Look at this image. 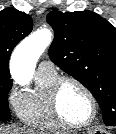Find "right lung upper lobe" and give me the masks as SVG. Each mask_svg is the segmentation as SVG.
Here are the masks:
<instances>
[{"mask_svg":"<svg viewBox=\"0 0 116 134\" xmlns=\"http://www.w3.org/2000/svg\"><path fill=\"white\" fill-rule=\"evenodd\" d=\"M33 28L30 15L14 8H5L0 11V80H11L9 59L14 47Z\"/></svg>","mask_w":116,"mask_h":134,"instance_id":"obj_1","label":"right lung upper lobe"}]
</instances>
